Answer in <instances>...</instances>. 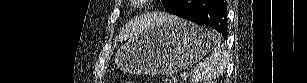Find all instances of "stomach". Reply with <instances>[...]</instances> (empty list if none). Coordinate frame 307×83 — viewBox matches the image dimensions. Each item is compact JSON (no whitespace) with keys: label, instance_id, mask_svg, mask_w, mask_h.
Listing matches in <instances>:
<instances>
[{"label":"stomach","instance_id":"stomach-1","mask_svg":"<svg viewBox=\"0 0 307 83\" xmlns=\"http://www.w3.org/2000/svg\"><path fill=\"white\" fill-rule=\"evenodd\" d=\"M207 31L176 17L156 23L121 46L115 64L132 74H174L191 67L213 47Z\"/></svg>","mask_w":307,"mask_h":83}]
</instances>
